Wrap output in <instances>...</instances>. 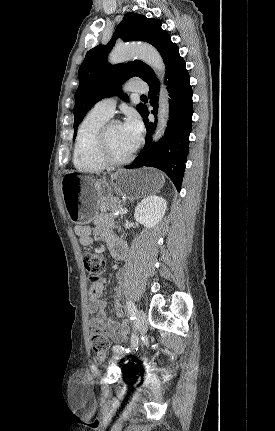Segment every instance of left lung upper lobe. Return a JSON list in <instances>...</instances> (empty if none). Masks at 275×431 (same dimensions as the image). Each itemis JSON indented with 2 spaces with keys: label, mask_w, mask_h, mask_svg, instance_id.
I'll use <instances>...</instances> for the list:
<instances>
[{
  "label": "left lung upper lobe",
  "mask_w": 275,
  "mask_h": 431,
  "mask_svg": "<svg viewBox=\"0 0 275 431\" xmlns=\"http://www.w3.org/2000/svg\"><path fill=\"white\" fill-rule=\"evenodd\" d=\"M123 41H145L153 45L161 54L164 62L170 50L176 46L168 33L161 29V22L148 19L143 15L128 12L117 26L111 41L106 45H98L86 53L79 68V87L75 93L74 107V137L79 123L91 107L104 97L122 96L127 101V95L121 93L122 84L132 77H140L149 82L155 77L153 70L144 62L135 60L127 64L108 65L107 55L113 48L116 39ZM145 105H137L140 114Z\"/></svg>",
  "instance_id": "1"
}]
</instances>
